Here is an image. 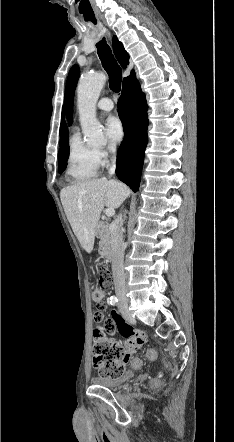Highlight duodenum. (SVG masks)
<instances>
[{
	"label": "duodenum",
	"instance_id": "obj_1",
	"mask_svg": "<svg viewBox=\"0 0 234 442\" xmlns=\"http://www.w3.org/2000/svg\"><path fill=\"white\" fill-rule=\"evenodd\" d=\"M108 234H109L108 224L103 223V222L99 223L96 228V235L99 237L105 238V241H104L103 247H102V253L107 259L112 260L113 251H112L109 241L107 239Z\"/></svg>",
	"mask_w": 234,
	"mask_h": 442
}]
</instances>
